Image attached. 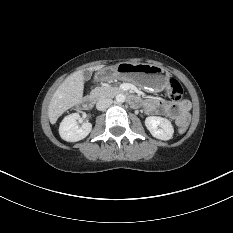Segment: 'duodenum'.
Returning a JSON list of instances; mask_svg holds the SVG:
<instances>
[{
	"label": "duodenum",
	"mask_w": 233,
	"mask_h": 233,
	"mask_svg": "<svg viewBox=\"0 0 233 233\" xmlns=\"http://www.w3.org/2000/svg\"><path fill=\"white\" fill-rule=\"evenodd\" d=\"M116 93L118 94H125L128 97V100L131 104L133 105H138L140 100L138 97H136L135 95L129 94L126 90L124 89H116ZM95 102V98L92 95H86L84 97L81 98L80 102H79V106L80 108L84 109V110H88L90 109Z\"/></svg>",
	"instance_id": "obj_1"
}]
</instances>
